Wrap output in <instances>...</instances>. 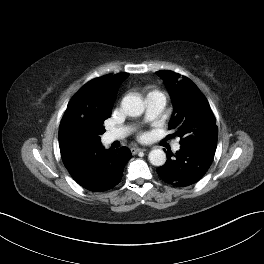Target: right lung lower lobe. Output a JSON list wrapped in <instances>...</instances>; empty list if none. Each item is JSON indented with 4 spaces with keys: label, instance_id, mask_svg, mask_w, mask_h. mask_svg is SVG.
<instances>
[{
    "label": "right lung lower lobe",
    "instance_id": "98d812e1",
    "mask_svg": "<svg viewBox=\"0 0 264 264\" xmlns=\"http://www.w3.org/2000/svg\"><path fill=\"white\" fill-rule=\"evenodd\" d=\"M100 141L60 144L61 157L68 172L80 186L92 192H103L115 187L132 157L127 147L105 149Z\"/></svg>",
    "mask_w": 264,
    "mask_h": 264
}]
</instances>
